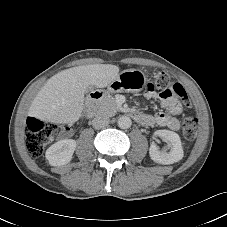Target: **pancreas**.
Segmentation results:
<instances>
[{
  "label": "pancreas",
  "instance_id": "cf45deb5",
  "mask_svg": "<svg viewBox=\"0 0 227 227\" xmlns=\"http://www.w3.org/2000/svg\"><path fill=\"white\" fill-rule=\"evenodd\" d=\"M120 109L121 106L110 95H104L96 105V113L98 115L112 116Z\"/></svg>",
  "mask_w": 227,
  "mask_h": 227
}]
</instances>
